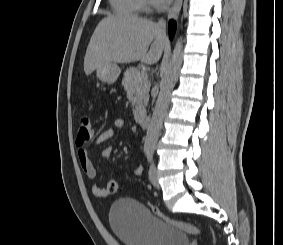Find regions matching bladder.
I'll return each instance as SVG.
<instances>
[{
    "mask_svg": "<svg viewBox=\"0 0 283 245\" xmlns=\"http://www.w3.org/2000/svg\"><path fill=\"white\" fill-rule=\"evenodd\" d=\"M109 221L125 245H190L186 233L133 199L116 200L110 207Z\"/></svg>",
    "mask_w": 283,
    "mask_h": 245,
    "instance_id": "obj_1",
    "label": "bladder"
}]
</instances>
